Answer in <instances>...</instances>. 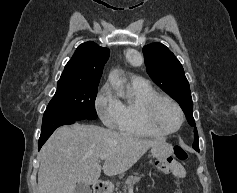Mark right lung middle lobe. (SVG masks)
Wrapping results in <instances>:
<instances>
[{"instance_id": "1", "label": "right lung middle lobe", "mask_w": 237, "mask_h": 193, "mask_svg": "<svg viewBox=\"0 0 237 193\" xmlns=\"http://www.w3.org/2000/svg\"><path fill=\"white\" fill-rule=\"evenodd\" d=\"M98 84L58 81V89L45 113L74 120L96 119L95 98Z\"/></svg>"}]
</instances>
